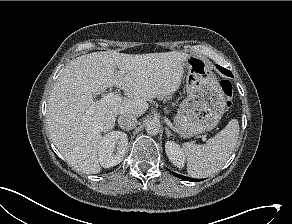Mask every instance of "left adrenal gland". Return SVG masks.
I'll return each instance as SVG.
<instances>
[{
	"label": "left adrenal gland",
	"mask_w": 292,
	"mask_h": 224,
	"mask_svg": "<svg viewBox=\"0 0 292 224\" xmlns=\"http://www.w3.org/2000/svg\"><path fill=\"white\" fill-rule=\"evenodd\" d=\"M165 130H166L167 137H170L172 135V133L169 130V128L168 127H165Z\"/></svg>",
	"instance_id": "left-adrenal-gland-1"
}]
</instances>
